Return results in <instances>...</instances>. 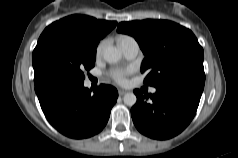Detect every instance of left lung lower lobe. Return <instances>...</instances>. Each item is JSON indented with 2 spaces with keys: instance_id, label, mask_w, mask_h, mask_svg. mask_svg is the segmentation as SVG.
Returning <instances> with one entry per match:
<instances>
[{
  "instance_id": "left-lung-lower-lobe-1",
  "label": "left lung lower lobe",
  "mask_w": 238,
  "mask_h": 158,
  "mask_svg": "<svg viewBox=\"0 0 238 158\" xmlns=\"http://www.w3.org/2000/svg\"><path fill=\"white\" fill-rule=\"evenodd\" d=\"M205 83V74H188L156 86V93L135 90L131 108L136 128L154 139H169L182 132L193 119Z\"/></svg>"
}]
</instances>
